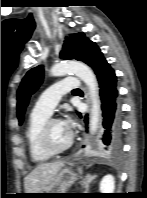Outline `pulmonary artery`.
Segmentation results:
<instances>
[{"mask_svg": "<svg viewBox=\"0 0 147 198\" xmlns=\"http://www.w3.org/2000/svg\"><path fill=\"white\" fill-rule=\"evenodd\" d=\"M80 86L75 77H67L46 89L35 102L33 110L45 114H52L62 96Z\"/></svg>", "mask_w": 147, "mask_h": 198, "instance_id": "1", "label": "pulmonary artery"}]
</instances>
